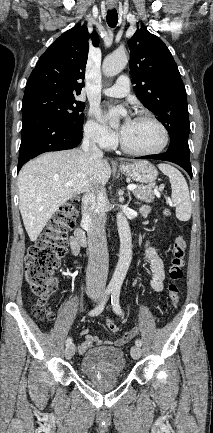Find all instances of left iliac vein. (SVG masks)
I'll return each mask as SVG.
<instances>
[{
	"label": "left iliac vein",
	"mask_w": 213,
	"mask_h": 433,
	"mask_svg": "<svg viewBox=\"0 0 213 433\" xmlns=\"http://www.w3.org/2000/svg\"><path fill=\"white\" fill-rule=\"evenodd\" d=\"M131 356L135 360L141 357V349L139 346L135 345L131 348Z\"/></svg>",
	"instance_id": "obj_1"
}]
</instances>
